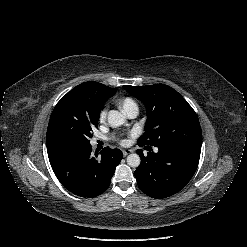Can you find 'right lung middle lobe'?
<instances>
[{"label": "right lung middle lobe", "instance_id": "1", "mask_svg": "<svg viewBox=\"0 0 247 247\" xmlns=\"http://www.w3.org/2000/svg\"><path fill=\"white\" fill-rule=\"evenodd\" d=\"M100 110L87 101L62 99L55 106L48 124L47 145L85 147L97 128Z\"/></svg>", "mask_w": 247, "mask_h": 247}]
</instances>
